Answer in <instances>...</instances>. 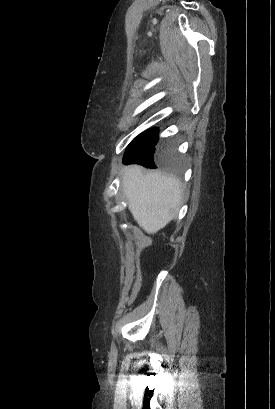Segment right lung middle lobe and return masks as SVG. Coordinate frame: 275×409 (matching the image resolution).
Returning <instances> with one entry per match:
<instances>
[{
    "label": "right lung middle lobe",
    "instance_id": "obj_1",
    "mask_svg": "<svg viewBox=\"0 0 275 409\" xmlns=\"http://www.w3.org/2000/svg\"><path fill=\"white\" fill-rule=\"evenodd\" d=\"M157 133V129H153L137 136L128 145L123 162L142 165L143 173H166L164 175L167 177L178 178L181 176L182 160L175 155L173 145H163L156 150Z\"/></svg>",
    "mask_w": 275,
    "mask_h": 409
}]
</instances>
